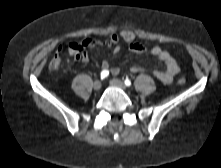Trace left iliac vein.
I'll list each match as a JSON object with an SVG mask.
<instances>
[{
    "instance_id": "obj_1",
    "label": "left iliac vein",
    "mask_w": 221,
    "mask_h": 168,
    "mask_svg": "<svg viewBox=\"0 0 221 168\" xmlns=\"http://www.w3.org/2000/svg\"><path fill=\"white\" fill-rule=\"evenodd\" d=\"M110 83H111V85H113V86H115V87H118V88H120V89H122V90H124V91H126L127 90V87L124 85V83L121 81V80H119V79H112V80H110Z\"/></svg>"
}]
</instances>
